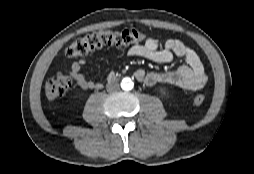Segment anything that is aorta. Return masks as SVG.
<instances>
[{"mask_svg": "<svg viewBox=\"0 0 254 174\" xmlns=\"http://www.w3.org/2000/svg\"><path fill=\"white\" fill-rule=\"evenodd\" d=\"M134 84L130 78H124L121 82V88L123 90H131L133 88Z\"/></svg>", "mask_w": 254, "mask_h": 174, "instance_id": "aorta-1", "label": "aorta"}]
</instances>
